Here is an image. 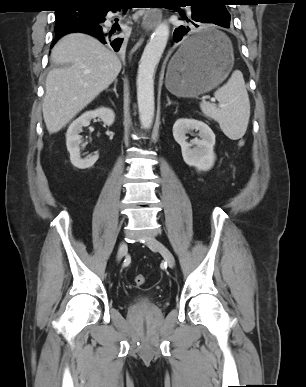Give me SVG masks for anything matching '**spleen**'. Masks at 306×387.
Listing matches in <instances>:
<instances>
[{
	"label": "spleen",
	"instance_id": "1",
	"mask_svg": "<svg viewBox=\"0 0 306 387\" xmlns=\"http://www.w3.org/2000/svg\"><path fill=\"white\" fill-rule=\"evenodd\" d=\"M214 96L221 107L201 102L203 114L217 121L228 138H241L247 130L250 117V101L242 73L235 70L227 83L215 91Z\"/></svg>",
	"mask_w": 306,
	"mask_h": 387
}]
</instances>
